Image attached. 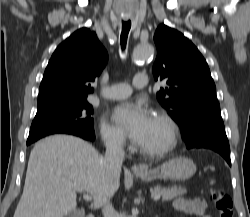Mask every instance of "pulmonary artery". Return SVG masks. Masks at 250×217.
Instances as JSON below:
<instances>
[{
	"instance_id": "1",
	"label": "pulmonary artery",
	"mask_w": 250,
	"mask_h": 217,
	"mask_svg": "<svg viewBox=\"0 0 250 217\" xmlns=\"http://www.w3.org/2000/svg\"><path fill=\"white\" fill-rule=\"evenodd\" d=\"M133 87L140 89L145 88L148 84V76L146 73H138L133 78ZM132 93V87L127 83H118L101 89L102 97L109 100H117L128 97Z\"/></svg>"
}]
</instances>
